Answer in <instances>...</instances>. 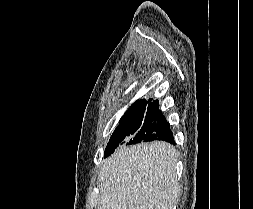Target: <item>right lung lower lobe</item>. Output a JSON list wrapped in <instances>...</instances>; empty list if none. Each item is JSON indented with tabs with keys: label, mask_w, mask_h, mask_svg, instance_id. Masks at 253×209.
Segmentation results:
<instances>
[{
	"label": "right lung lower lobe",
	"mask_w": 253,
	"mask_h": 209,
	"mask_svg": "<svg viewBox=\"0 0 253 209\" xmlns=\"http://www.w3.org/2000/svg\"><path fill=\"white\" fill-rule=\"evenodd\" d=\"M158 108L159 103L156 102L151 109L158 110ZM142 140L143 141L162 140L174 144L173 133L165 117L161 114L159 110L155 127L152 130L145 132V134L142 136Z\"/></svg>",
	"instance_id": "right-lung-lower-lobe-1"
}]
</instances>
